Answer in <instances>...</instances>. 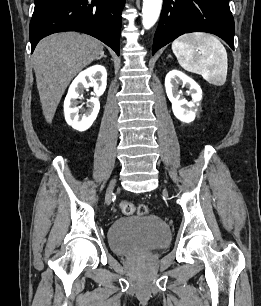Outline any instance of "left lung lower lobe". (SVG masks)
I'll list each match as a JSON object with an SVG mask.
<instances>
[{"label": "left lung lower lobe", "mask_w": 261, "mask_h": 306, "mask_svg": "<svg viewBox=\"0 0 261 306\" xmlns=\"http://www.w3.org/2000/svg\"><path fill=\"white\" fill-rule=\"evenodd\" d=\"M234 31L229 0H164L152 54L189 32L215 34L234 50Z\"/></svg>", "instance_id": "obj_1"}]
</instances>
